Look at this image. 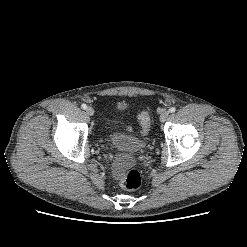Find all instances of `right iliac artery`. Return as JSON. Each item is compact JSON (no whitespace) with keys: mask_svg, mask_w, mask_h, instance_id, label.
Wrapping results in <instances>:
<instances>
[{"mask_svg":"<svg viewBox=\"0 0 247 247\" xmlns=\"http://www.w3.org/2000/svg\"><path fill=\"white\" fill-rule=\"evenodd\" d=\"M81 107H82V109L85 110L87 108V105L86 104H82Z\"/></svg>","mask_w":247,"mask_h":247,"instance_id":"obj_1","label":"right iliac artery"}]
</instances>
